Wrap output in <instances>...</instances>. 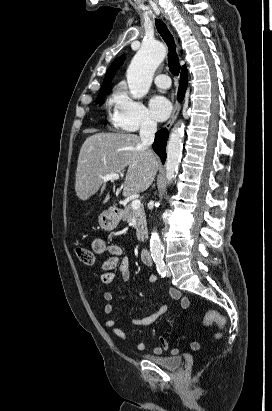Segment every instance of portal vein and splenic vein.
<instances>
[{"instance_id": "18ae733b", "label": "portal vein and splenic vein", "mask_w": 272, "mask_h": 411, "mask_svg": "<svg viewBox=\"0 0 272 411\" xmlns=\"http://www.w3.org/2000/svg\"><path fill=\"white\" fill-rule=\"evenodd\" d=\"M118 179H119V174H117V173L106 174V175L103 177V180H104L105 182H106V181H109V180H118ZM140 206H141L140 200H138V199L132 200V202H131V207H132V209L136 210V209L140 208Z\"/></svg>"}]
</instances>
